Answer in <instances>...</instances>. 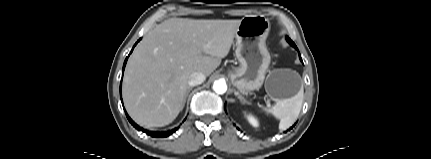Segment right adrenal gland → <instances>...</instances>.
Listing matches in <instances>:
<instances>
[{"mask_svg":"<svg viewBox=\"0 0 431 159\" xmlns=\"http://www.w3.org/2000/svg\"><path fill=\"white\" fill-rule=\"evenodd\" d=\"M192 90V87H189L188 88V90H187V93H186V95H185V98H184V102H183V107H184V104H185V101H186V97L188 96V94H189V92Z\"/></svg>","mask_w":431,"mask_h":159,"instance_id":"obj_1","label":"right adrenal gland"}]
</instances>
